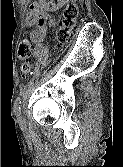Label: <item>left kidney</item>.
<instances>
[{
  "mask_svg": "<svg viewBox=\"0 0 123 167\" xmlns=\"http://www.w3.org/2000/svg\"><path fill=\"white\" fill-rule=\"evenodd\" d=\"M66 1H67V0H58L57 5H54L52 9H58L59 7H61L62 5H64V3H65Z\"/></svg>",
  "mask_w": 123,
  "mask_h": 167,
  "instance_id": "left-kidney-1",
  "label": "left kidney"
}]
</instances>
